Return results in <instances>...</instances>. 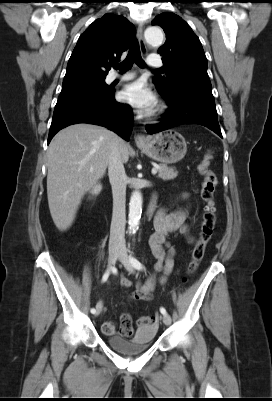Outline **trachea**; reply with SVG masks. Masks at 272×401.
Returning a JSON list of instances; mask_svg holds the SVG:
<instances>
[{"label":"trachea","instance_id":"1","mask_svg":"<svg viewBox=\"0 0 272 401\" xmlns=\"http://www.w3.org/2000/svg\"><path fill=\"white\" fill-rule=\"evenodd\" d=\"M137 64L139 67L144 68L146 66L144 60L141 57L139 44L137 40H134L130 46L129 52L125 60L119 64H113L114 69L120 70V72H125ZM159 70V69H158ZM157 70V71H158Z\"/></svg>","mask_w":272,"mask_h":401}]
</instances>
